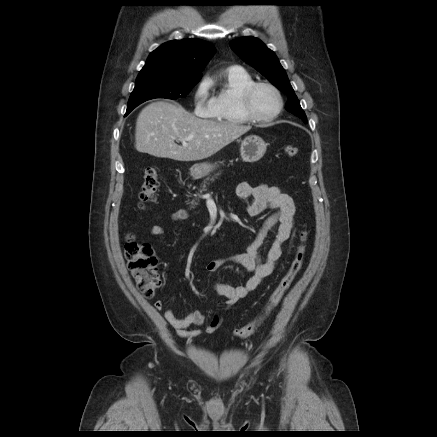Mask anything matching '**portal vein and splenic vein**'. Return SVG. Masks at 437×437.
<instances>
[{"label":"portal vein and splenic vein","mask_w":437,"mask_h":437,"mask_svg":"<svg viewBox=\"0 0 437 437\" xmlns=\"http://www.w3.org/2000/svg\"><path fill=\"white\" fill-rule=\"evenodd\" d=\"M179 140L182 142V144H183L184 146L187 145L186 142H185V139H179Z\"/></svg>","instance_id":"18ae733b"}]
</instances>
